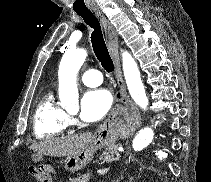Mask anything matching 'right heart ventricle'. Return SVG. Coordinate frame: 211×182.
<instances>
[{
    "mask_svg": "<svg viewBox=\"0 0 211 182\" xmlns=\"http://www.w3.org/2000/svg\"><path fill=\"white\" fill-rule=\"evenodd\" d=\"M68 115L55 101L52 92L39 101L34 114V135L38 139H51L62 135L69 126Z\"/></svg>",
    "mask_w": 211,
    "mask_h": 182,
    "instance_id": "right-heart-ventricle-1",
    "label": "right heart ventricle"
}]
</instances>
